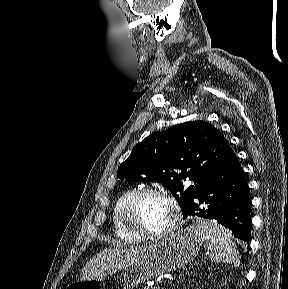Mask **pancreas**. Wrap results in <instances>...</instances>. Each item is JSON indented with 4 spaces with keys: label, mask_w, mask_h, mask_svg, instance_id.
I'll return each instance as SVG.
<instances>
[{
    "label": "pancreas",
    "mask_w": 288,
    "mask_h": 289,
    "mask_svg": "<svg viewBox=\"0 0 288 289\" xmlns=\"http://www.w3.org/2000/svg\"><path fill=\"white\" fill-rule=\"evenodd\" d=\"M143 289H153L151 286H145Z\"/></svg>",
    "instance_id": "1"
}]
</instances>
